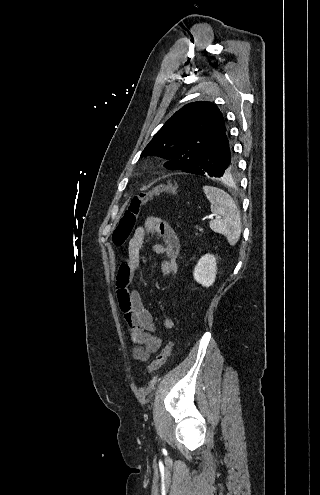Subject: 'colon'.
<instances>
[{
    "instance_id": "1",
    "label": "colon",
    "mask_w": 320,
    "mask_h": 495,
    "mask_svg": "<svg viewBox=\"0 0 320 495\" xmlns=\"http://www.w3.org/2000/svg\"><path fill=\"white\" fill-rule=\"evenodd\" d=\"M178 186L173 183H164L152 188L150 191L142 193L131 199L124 215L117 224L112 239L115 245L122 246L129 239L133 227L136 223L142 207L154 196L160 193L176 194ZM173 347V340L169 339L159 355L148 366V374L156 372L169 358Z\"/></svg>"
}]
</instances>
